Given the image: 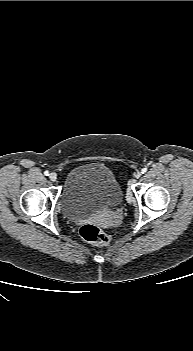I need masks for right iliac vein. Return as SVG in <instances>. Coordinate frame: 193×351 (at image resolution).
I'll return each instance as SVG.
<instances>
[{
  "mask_svg": "<svg viewBox=\"0 0 193 351\" xmlns=\"http://www.w3.org/2000/svg\"><path fill=\"white\" fill-rule=\"evenodd\" d=\"M49 179L53 182L57 181V175L55 173H51L49 175Z\"/></svg>",
  "mask_w": 193,
  "mask_h": 351,
  "instance_id": "63e3f726",
  "label": "right iliac vein"
}]
</instances>
